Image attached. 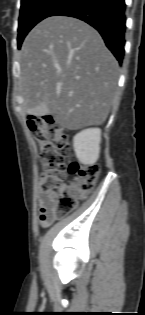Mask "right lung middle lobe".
Segmentation results:
<instances>
[{"instance_id": "1", "label": "right lung middle lobe", "mask_w": 145, "mask_h": 315, "mask_svg": "<svg viewBox=\"0 0 145 315\" xmlns=\"http://www.w3.org/2000/svg\"><path fill=\"white\" fill-rule=\"evenodd\" d=\"M65 0H21L18 27V49L27 33L41 20L49 17Z\"/></svg>"}]
</instances>
